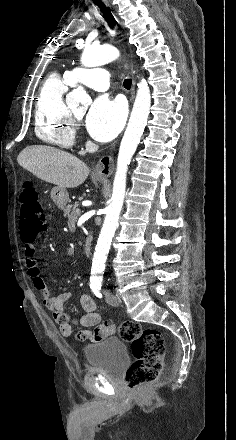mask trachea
<instances>
[{
	"label": "trachea",
	"mask_w": 236,
	"mask_h": 440,
	"mask_svg": "<svg viewBox=\"0 0 236 440\" xmlns=\"http://www.w3.org/2000/svg\"><path fill=\"white\" fill-rule=\"evenodd\" d=\"M96 5L100 8V11L102 12L103 16L105 17L106 21L108 22V25L111 29L114 28L116 22L113 18V16L111 15L109 9L102 3H96ZM123 85L126 89H130L131 85H132V80L131 79H125L123 82Z\"/></svg>",
	"instance_id": "1"
}]
</instances>
